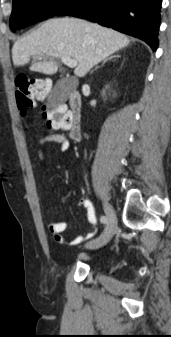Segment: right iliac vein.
Masks as SVG:
<instances>
[{"instance_id":"right-iliac-vein-1","label":"right iliac vein","mask_w":171,"mask_h":337,"mask_svg":"<svg viewBox=\"0 0 171 337\" xmlns=\"http://www.w3.org/2000/svg\"><path fill=\"white\" fill-rule=\"evenodd\" d=\"M104 211L107 217L105 230L97 239L92 240L87 244L89 248H100L106 245L116 232L117 217L113 207L109 203L105 202Z\"/></svg>"}]
</instances>
